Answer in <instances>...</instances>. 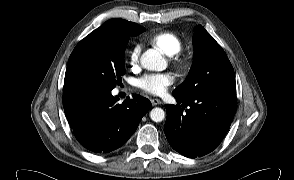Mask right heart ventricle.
Listing matches in <instances>:
<instances>
[{"mask_svg": "<svg viewBox=\"0 0 294 180\" xmlns=\"http://www.w3.org/2000/svg\"><path fill=\"white\" fill-rule=\"evenodd\" d=\"M149 42L167 56H175L182 50L180 38L171 32H159L149 38Z\"/></svg>", "mask_w": 294, "mask_h": 180, "instance_id": "1", "label": "right heart ventricle"}]
</instances>
